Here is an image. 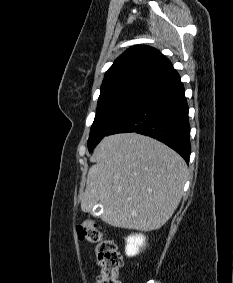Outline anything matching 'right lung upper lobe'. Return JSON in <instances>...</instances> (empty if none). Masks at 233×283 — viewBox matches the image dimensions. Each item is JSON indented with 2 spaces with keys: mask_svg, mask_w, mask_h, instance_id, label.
<instances>
[{
  "mask_svg": "<svg viewBox=\"0 0 233 283\" xmlns=\"http://www.w3.org/2000/svg\"><path fill=\"white\" fill-rule=\"evenodd\" d=\"M171 62L157 49L137 45L120 55L105 73L101 90L131 80L152 81L171 71Z\"/></svg>",
  "mask_w": 233,
  "mask_h": 283,
  "instance_id": "cb5924a9",
  "label": "right lung upper lobe"
}]
</instances>
